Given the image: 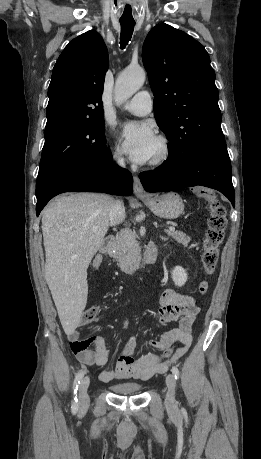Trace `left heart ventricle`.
<instances>
[{"mask_svg":"<svg viewBox=\"0 0 261 459\" xmlns=\"http://www.w3.org/2000/svg\"><path fill=\"white\" fill-rule=\"evenodd\" d=\"M159 151H160L159 143H158V141H156V143H155V145L153 147L152 156H151L150 160L155 158L158 155Z\"/></svg>","mask_w":261,"mask_h":459,"instance_id":"b2bd125f","label":"left heart ventricle"}]
</instances>
